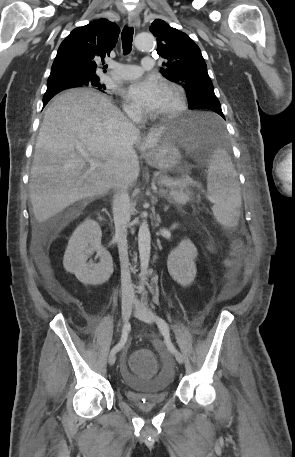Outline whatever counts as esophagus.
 <instances>
[{
	"instance_id": "1",
	"label": "esophagus",
	"mask_w": 295,
	"mask_h": 457,
	"mask_svg": "<svg viewBox=\"0 0 295 457\" xmlns=\"http://www.w3.org/2000/svg\"><path fill=\"white\" fill-rule=\"evenodd\" d=\"M128 22L130 25L139 26L140 18L137 11H131L128 15Z\"/></svg>"
}]
</instances>
